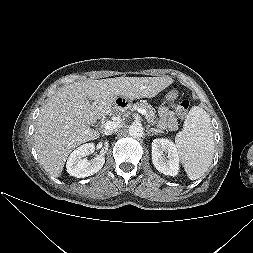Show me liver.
<instances>
[{
	"instance_id": "1",
	"label": "liver",
	"mask_w": 253,
	"mask_h": 253,
	"mask_svg": "<svg viewBox=\"0 0 253 253\" xmlns=\"http://www.w3.org/2000/svg\"><path fill=\"white\" fill-rule=\"evenodd\" d=\"M173 82L169 77H117L59 88L37 118L34 145L40 164L50 176L60 177L71 151L100 136L90 126L112 111L116 98H151Z\"/></svg>"
}]
</instances>
